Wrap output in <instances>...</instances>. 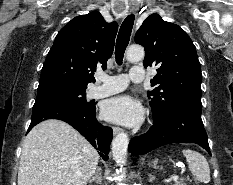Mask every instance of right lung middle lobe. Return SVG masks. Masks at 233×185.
<instances>
[{
	"instance_id": "dd1d6c3e",
	"label": "right lung middle lobe",
	"mask_w": 233,
	"mask_h": 185,
	"mask_svg": "<svg viewBox=\"0 0 233 185\" xmlns=\"http://www.w3.org/2000/svg\"><path fill=\"white\" fill-rule=\"evenodd\" d=\"M66 102L84 107H92L94 104L86 100L85 89L50 88L38 90L36 101Z\"/></svg>"
}]
</instances>
